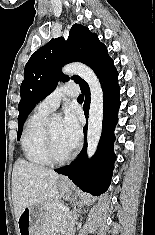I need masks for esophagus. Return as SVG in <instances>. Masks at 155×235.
Listing matches in <instances>:
<instances>
[{"instance_id": "34e87169", "label": "esophagus", "mask_w": 155, "mask_h": 235, "mask_svg": "<svg viewBox=\"0 0 155 235\" xmlns=\"http://www.w3.org/2000/svg\"><path fill=\"white\" fill-rule=\"evenodd\" d=\"M62 180H63V181H67L68 179H67L66 177H63Z\"/></svg>"}]
</instances>
